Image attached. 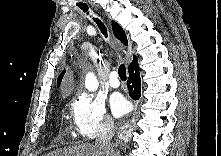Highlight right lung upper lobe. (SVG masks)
Segmentation results:
<instances>
[{
  "label": "right lung upper lobe",
  "instance_id": "obj_1",
  "mask_svg": "<svg viewBox=\"0 0 221 156\" xmlns=\"http://www.w3.org/2000/svg\"><path fill=\"white\" fill-rule=\"evenodd\" d=\"M112 29H113L115 37L117 39H119L122 43H124V45H128V41H127V37H126L125 32L123 31L121 26L118 23H116L115 21H112ZM137 64H138L137 59L134 56L133 57V62L130 64V66H134V65H137ZM64 73H65V70L61 73V75L57 79L58 86L60 85V83L62 81Z\"/></svg>",
  "mask_w": 221,
  "mask_h": 156
}]
</instances>
